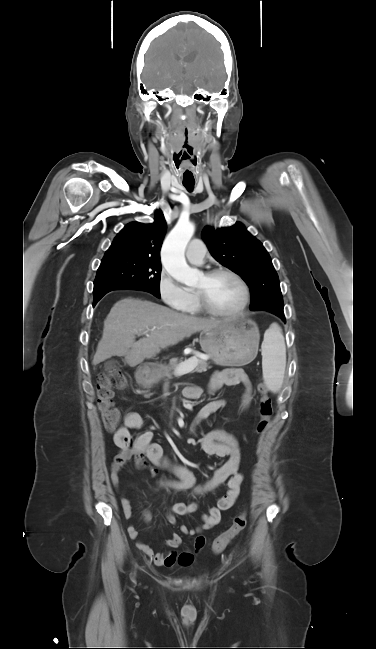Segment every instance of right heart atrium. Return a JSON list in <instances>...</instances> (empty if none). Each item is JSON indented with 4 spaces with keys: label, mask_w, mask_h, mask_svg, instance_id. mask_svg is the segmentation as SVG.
<instances>
[{
    "label": "right heart atrium",
    "mask_w": 376,
    "mask_h": 649,
    "mask_svg": "<svg viewBox=\"0 0 376 649\" xmlns=\"http://www.w3.org/2000/svg\"><path fill=\"white\" fill-rule=\"evenodd\" d=\"M157 290L162 301L171 308L181 309L188 298V291L165 269L159 273Z\"/></svg>",
    "instance_id": "1"
}]
</instances>
